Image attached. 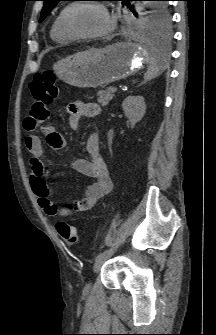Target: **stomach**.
<instances>
[{
	"mask_svg": "<svg viewBox=\"0 0 216 335\" xmlns=\"http://www.w3.org/2000/svg\"><path fill=\"white\" fill-rule=\"evenodd\" d=\"M147 51L131 42H116L102 49L91 48L57 62V77L79 88L105 87L142 69Z\"/></svg>",
	"mask_w": 216,
	"mask_h": 335,
	"instance_id": "obj_1",
	"label": "stomach"
}]
</instances>
